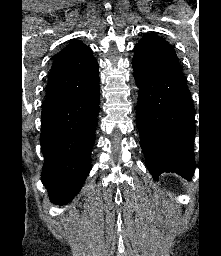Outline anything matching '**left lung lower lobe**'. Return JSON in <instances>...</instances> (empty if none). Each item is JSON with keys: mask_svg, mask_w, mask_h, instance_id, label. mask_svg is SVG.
<instances>
[{"mask_svg": "<svg viewBox=\"0 0 221 256\" xmlns=\"http://www.w3.org/2000/svg\"><path fill=\"white\" fill-rule=\"evenodd\" d=\"M139 87L137 127L147 167L157 179L175 172L190 180L195 168L194 106L184 75L133 73Z\"/></svg>", "mask_w": 221, "mask_h": 256, "instance_id": "left-lung-lower-lobe-1", "label": "left lung lower lobe"}]
</instances>
